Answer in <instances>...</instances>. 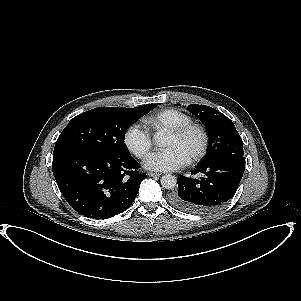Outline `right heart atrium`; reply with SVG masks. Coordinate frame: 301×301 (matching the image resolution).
Returning <instances> with one entry per match:
<instances>
[{"instance_id": "obj_1", "label": "right heart atrium", "mask_w": 301, "mask_h": 301, "mask_svg": "<svg viewBox=\"0 0 301 301\" xmlns=\"http://www.w3.org/2000/svg\"><path fill=\"white\" fill-rule=\"evenodd\" d=\"M128 149L138 157L145 156L152 148L150 134L137 126L130 127L125 135Z\"/></svg>"}]
</instances>
